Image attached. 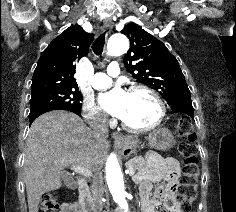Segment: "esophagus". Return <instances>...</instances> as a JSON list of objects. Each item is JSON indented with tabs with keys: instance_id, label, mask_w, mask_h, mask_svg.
Segmentation results:
<instances>
[{
	"instance_id": "esophagus-1",
	"label": "esophagus",
	"mask_w": 236,
	"mask_h": 212,
	"mask_svg": "<svg viewBox=\"0 0 236 212\" xmlns=\"http://www.w3.org/2000/svg\"><path fill=\"white\" fill-rule=\"evenodd\" d=\"M113 26V22L111 19H105L104 22H103V29L105 30H110ZM115 143H124L126 141H128V138L123 136L122 134H119V133H113L112 135Z\"/></svg>"
}]
</instances>
